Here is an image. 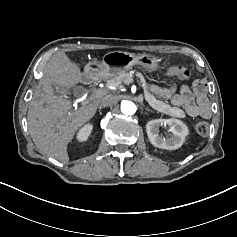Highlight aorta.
<instances>
[{"instance_id":"1","label":"aorta","mask_w":237,"mask_h":237,"mask_svg":"<svg viewBox=\"0 0 237 237\" xmlns=\"http://www.w3.org/2000/svg\"><path fill=\"white\" fill-rule=\"evenodd\" d=\"M121 112L124 115H133L136 112V105L131 101H122Z\"/></svg>"}]
</instances>
